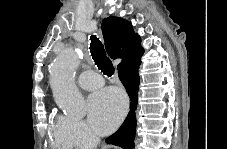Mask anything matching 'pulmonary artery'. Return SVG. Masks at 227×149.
Listing matches in <instances>:
<instances>
[{
	"label": "pulmonary artery",
	"instance_id": "obj_1",
	"mask_svg": "<svg viewBox=\"0 0 227 149\" xmlns=\"http://www.w3.org/2000/svg\"><path fill=\"white\" fill-rule=\"evenodd\" d=\"M102 77L94 71L87 70L78 76V84L85 90H95L103 85Z\"/></svg>",
	"mask_w": 227,
	"mask_h": 149
}]
</instances>
